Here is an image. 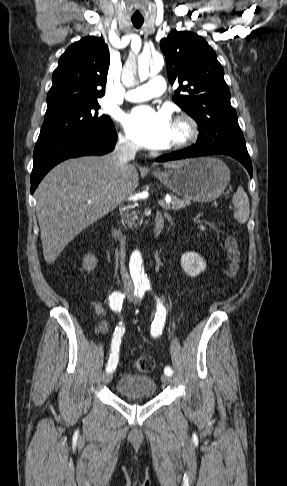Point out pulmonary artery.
Segmentation results:
<instances>
[{
    "label": "pulmonary artery",
    "instance_id": "obj_1",
    "mask_svg": "<svg viewBox=\"0 0 287 486\" xmlns=\"http://www.w3.org/2000/svg\"><path fill=\"white\" fill-rule=\"evenodd\" d=\"M164 90V79L162 77H154L146 84L126 91L124 98L131 102H140L160 96L163 94Z\"/></svg>",
    "mask_w": 287,
    "mask_h": 486
}]
</instances>
